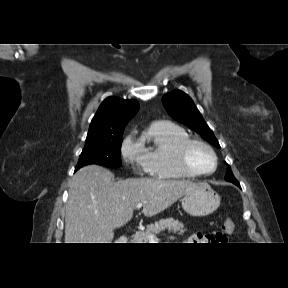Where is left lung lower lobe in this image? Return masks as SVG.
<instances>
[{"mask_svg":"<svg viewBox=\"0 0 288 288\" xmlns=\"http://www.w3.org/2000/svg\"><path fill=\"white\" fill-rule=\"evenodd\" d=\"M232 183L235 184V185H237L238 187H240V184H239L238 181H234V182H232Z\"/></svg>","mask_w":288,"mask_h":288,"instance_id":"1","label":"left lung lower lobe"}]
</instances>
